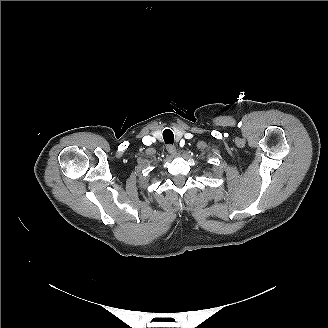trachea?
<instances>
[{
	"label": "trachea",
	"mask_w": 328,
	"mask_h": 328,
	"mask_svg": "<svg viewBox=\"0 0 328 328\" xmlns=\"http://www.w3.org/2000/svg\"><path fill=\"white\" fill-rule=\"evenodd\" d=\"M163 139H164V142L166 144H169V143L170 144H173V142H174V134H173L172 130L165 129L163 131Z\"/></svg>",
	"instance_id": "3493384b"
}]
</instances>
